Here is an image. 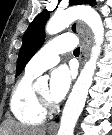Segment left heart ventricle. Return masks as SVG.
<instances>
[{"mask_svg":"<svg viewBox=\"0 0 112 135\" xmlns=\"http://www.w3.org/2000/svg\"><path fill=\"white\" fill-rule=\"evenodd\" d=\"M37 91L42 97L50 100V98H49V86L48 85H44V86L40 87Z\"/></svg>","mask_w":112,"mask_h":135,"instance_id":"left-heart-ventricle-1","label":"left heart ventricle"}]
</instances>
